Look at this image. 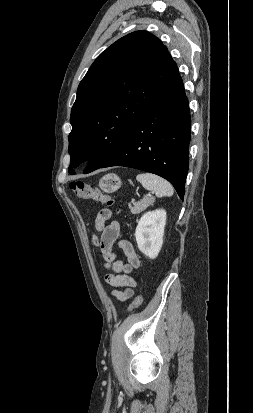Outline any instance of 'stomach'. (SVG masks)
Wrapping results in <instances>:
<instances>
[{
  "label": "stomach",
  "mask_w": 253,
  "mask_h": 413,
  "mask_svg": "<svg viewBox=\"0 0 253 413\" xmlns=\"http://www.w3.org/2000/svg\"><path fill=\"white\" fill-rule=\"evenodd\" d=\"M121 179L116 174H107L99 181V188L105 193L116 192L121 187Z\"/></svg>",
  "instance_id": "1"
}]
</instances>
